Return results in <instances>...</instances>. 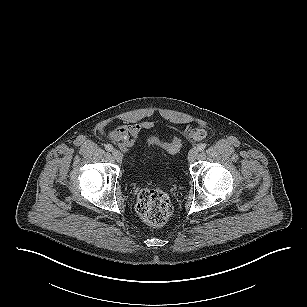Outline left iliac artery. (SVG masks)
Masks as SVG:
<instances>
[{"label": "left iliac artery", "instance_id": "obj_1", "mask_svg": "<svg viewBox=\"0 0 307 307\" xmlns=\"http://www.w3.org/2000/svg\"><path fill=\"white\" fill-rule=\"evenodd\" d=\"M206 148V144L205 143H200L197 145V149L199 151H203Z\"/></svg>", "mask_w": 307, "mask_h": 307}]
</instances>
